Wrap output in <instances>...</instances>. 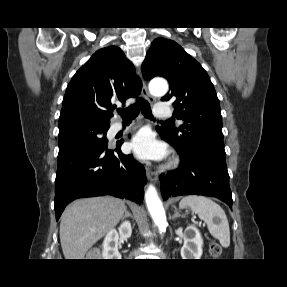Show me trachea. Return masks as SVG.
<instances>
[{
	"instance_id": "3493384b",
	"label": "trachea",
	"mask_w": 287,
	"mask_h": 287,
	"mask_svg": "<svg viewBox=\"0 0 287 287\" xmlns=\"http://www.w3.org/2000/svg\"><path fill=\"white\" fill-rule=\"evenodd\" d=\"M140 111H142V114L145 118L153 119L150 104L141 98L138 99L134 104L130 105L128 108L117 110L122 119L127 121L135 119ZM166 122L172 121L167 120Z\"/></svg>"
}]
</instances>
